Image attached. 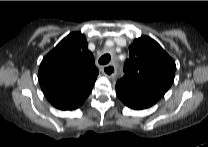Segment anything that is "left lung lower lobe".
Returning a JSON list of instances; mask_svg holds the SVG:
<instances>
[{
    "label": "left lung lower lobe",
    "mask_w": 208,
    "mask_h": 147,
    "mask_svg": "<svg viewBox=\"0 0 208 147\" xmlns=\"http://www.w3.org/2000/svg\"><path fill=\"white\" fill-rule=\"evenodd\" d=\"M116 92L119 99L132 109H145L154 105L158 98L147 93L128 88L123 84L116 83Z\"/></svg>",
    "instance_id": "0a47b994"
}]
</instances>
